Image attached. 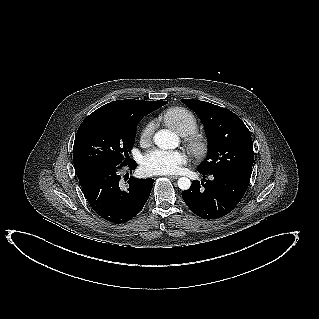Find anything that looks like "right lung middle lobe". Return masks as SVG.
I'll return each mask as SVG.
<instances>
[{
	"label": "right lung middle lobe",
	"instance_id": "obj_1",
	"mask_svg": "<svg viewBox=\"0 0 319 319\" xmlns=\"http://www.w3.org/2000/svg\"><path fill=\"white\" fill-rule=\"evenodd\" d=\"M140 120L116 112L86 117L74 140L76 174L80 175L94 167H116L128 163L125 159L132 150Z\"/></svg>",
	"mask_w": 319,
	"mask_h": 319
}]
</instances>
